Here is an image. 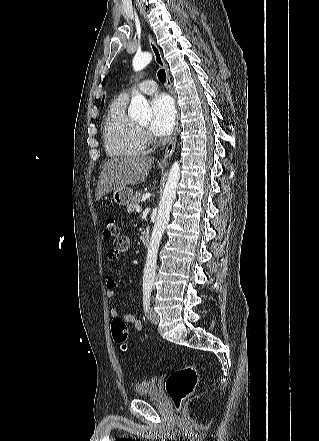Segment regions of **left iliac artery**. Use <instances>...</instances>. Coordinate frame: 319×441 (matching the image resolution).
Masks as SVG:
<instances>
[{
    "instance_id": "1",
    "label": "left iliac artery",
    "mask_w": 319,
    "mask_h": 441,
    "mask_svg": "<svg viewBox=\"0 0 319 441\" xmlns=\"http://www.w3.org/2000/svg\"><path fill=\"white\" fill-rule=\"evenodd\" d=\"M151 290L147 289L143 291V307L145 313L149 311L150 308V300H151Z\"/></svg>"
}]
</instances>
